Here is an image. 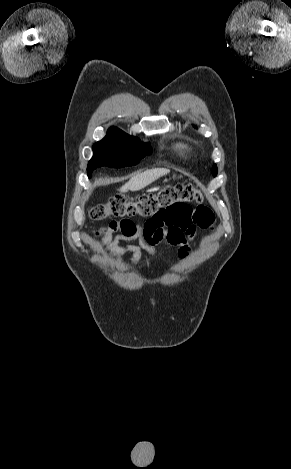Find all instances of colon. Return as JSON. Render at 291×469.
I'll return each mask as SVG.
<instances>
[{"instance_id": "obj_1", "label": "colon", "mask_w": 291, "mask_h": 469, "mask_svg": "<svg viewBox=\"0 0 291 469\" xmlns=\"http://www.w3.org/2000/svg\"><path fill=\"white\" fill-rule=\"evenodd\" d=\"M203 200L201 191L188 184L170 185L157 193H148L138 198H128L116 195L108 202L99 204L91 210V217L95 221H104L109 218H156L164 212L184 210L186 203L200 204ZM210 210L204 206H198L196 212L203 218Z\"/></svg>"}]
</instances>
